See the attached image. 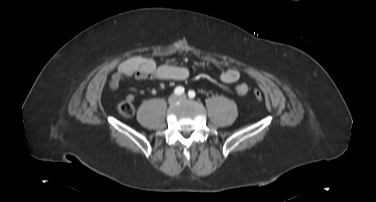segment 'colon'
I'll return each mask as SVG.
<instances>
[{
    "instance_id": "5ec220e1",
    "label": "colon",
    "mask_w": 376,
    "mask_h": 202,
    "mask_svg": "<svg viewBox=\"0 0 376 202\" xmlns=\"http://www.w3.org/2000/svg\"><path fill=\"white\" fill-rule=\"evenodd\" d=\"M255 97H256L257 100H261L263 96H262V93L260 91H256ZM118 110L123 116H126V117L132 116L135 112L133 99H131L130 97H127L124 101H122L118 105Z\"/></svg>"
}]
</instances>
